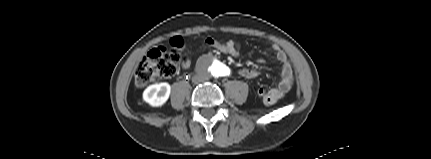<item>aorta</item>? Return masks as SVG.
Returning a JSON list of instances; mask_svg holds the SVG:
<instances>
[{
    "label": "aorta",
    "instance_id": "aorta-1",
    "mask_svg": "<svg viewBox=\"0 0 431 159\" xmlns=\"http://www.w3.org/2000/svg\"><path fill=\"white\" fill-rule=\"evenodd\" d=\"M206 70L210 75L215 77H221L227 73L226 66L219 61L210 62L207 65Z\"/></svg>",
    "mask_w": 431,
    "mask_h": 159
}]
</instances>
